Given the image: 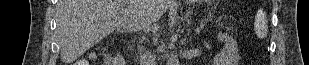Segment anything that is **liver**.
Instances as JSON below:
<instances>
[{"mask_svg": "<svg viewBox=\"0 0 309 65\" xmlns=\"http://www.w3.org/2000/svg\"><path fill=\"white\" fill-rule=\"evenodd\" d=\"M169 5V0H59L56 22L61 60L75 61L115 30L143 29L161 18Z\"/></svg>", "mask_w": 309, "mask_h": 65, "instance_id": "1", "label": "liver"}]
</instances>
